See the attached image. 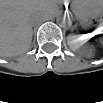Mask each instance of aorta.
Listing matches in <instances>:
<instances>
[{"label":"aorta","instance_id":"762f6f07","mask_svg":"<svg viewBox=\"0 0 103 103\" xmlns=\"http://www.w3.org/2000/svg\"><path fill=\"white\" fill-rule=\"evenodd\" d=\"M57 24L62 28H69L72 25L73 19L68 12H60L56 17Z\"/></svg>","mask_w":103,"mask_h":103}]
</instances>
